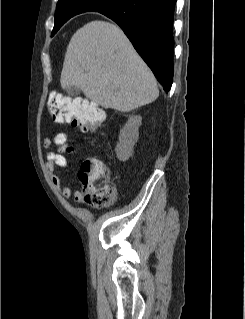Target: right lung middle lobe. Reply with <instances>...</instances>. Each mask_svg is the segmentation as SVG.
<instances>
[{"label":"right lung middle lobe","mask_w":245,"mask_h":319,"mask_svg":"<svg viewBox=\"0 0 245 319\" xmlns=\"http://www.w3.org/2000/svg\"><path fill=\"white\" fill-rule=\"evenodd\" d=\"M123 0H83L81 6L85 11H102L107 8L113 7ZM70 4L68 1H59L57 3V10L55 14V25L52 31L54 35L61 26L58 25L67 16V6Z\"/></svg>","instance_id":"right-lung-middle-lobe-1"}]
</instances>
